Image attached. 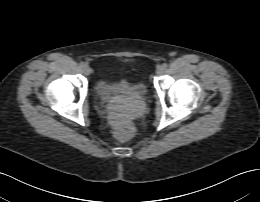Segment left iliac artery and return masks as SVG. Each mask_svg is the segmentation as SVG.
Wrapping results in <instances>:
<instances>
[{
	"mask_svg": "<svg viewBox=\"0 0 260 202\" xmlns=\"http://www.w3.org/2000/svg\"><path fill=\"white\" fill-rule=\"evenodd\" d=\"M162 67H163V69H166V68L168 67V65H167L166 63H164V64L162 65Z\"/></svg>",
	"mask_w": 260,
	"mask_h": 202,
	"instance_id": "1",
	"label": "left iliac artery"
}]
</instances>
